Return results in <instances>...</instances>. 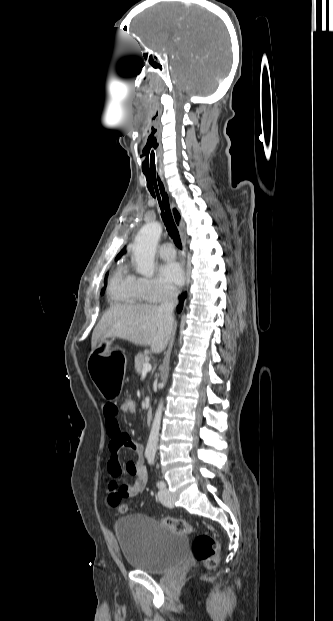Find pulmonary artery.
Returning a JSON list of instances; mask_svg holds the SVG:
<instances>
[{
  "mask_svg": "<svg viewBox=\"0 0 333 621\" xmlns=\"http://www.w3.org/2000/svg\"><path fill=\"white\" fill-rule=\"evenodd\" d=\"M159 255L161 256V258L166 260L174 259L175 249L173 245L169 242L163 243L159 248Z\"/></svg>",
  "mask_w": 333,
  "mask_h": 621,
  "instance_id": "pulmonary-artery-1",
  "label": "pulmonary artery"
}]
</instances>
